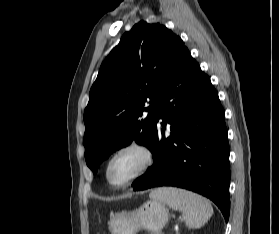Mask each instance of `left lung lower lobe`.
Wrapping results in <instances>:
<instances>
[{"instance_id": "0a47b994", "label": "left lung lower lobe", "mask_w": 279, "mask_h": 234, "mask_svg": "<svg viewBox=\"0 0 279 234\" xmlns=\"http://www.w3.org/2000/svg\"><path fill=\"white\" fill-rule=\"evenodd\" d=\"M159 119L163 121L159 123ZM170 135L165 136V130ZM153 165L134 191L176 186L211 199L229 218V145L225 112L210 78L184 46L159 95Z\"/></svg>"}]
</instances>
